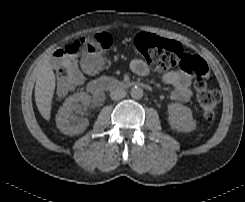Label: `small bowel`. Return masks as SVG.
Returning a JSON list of instances; mask_svg holds the SVG:
<instances>
[{
	"label": "small bowel",
	"mask_w": 245,
	"mask_h": 202,
	"mask_svg": "<svg viewBox=\"0 0 245 202\" xmlns=\"http://www.w3.org/2000/svg\"><path fill=\"white\" fill-rule=\"evenodd\" d=\"M89 73H98L102 63L96 59L86 61ZM132 73L137 76L145 77L149 74L147 64L141 59H134L130 63ZM164 83L173 87L170 97L174 101L186 102L193 96L191 77L182 70H171L163 75ZM70 87L62 86L59 91L67 90Z\"/></svg>",
	"instance_id": "small-bowel-1"
}]
</instances>
